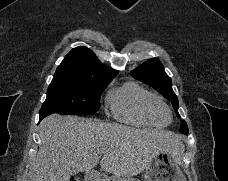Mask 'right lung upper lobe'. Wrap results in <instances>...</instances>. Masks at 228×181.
Returning a JSON list of instances; mask_svg holds the SVG:
<instances>
[{
    "label": "right lung upper lobe",
    "mask_w": 228,
    "mask_h": 181,
    "mask_svg": "<svg viewBox=\"0 0 228 181\" xmlns=\"http://www.w3.org/2000/svg\"><path fill=\"white\" fill-rule=\"evenodd\" d=\"M118 71L102 64L86 47L72 49L58 66L52 82L86 83L112 80Z\"/></svg>",
    "instance_id": "1"
}]
</instances>
